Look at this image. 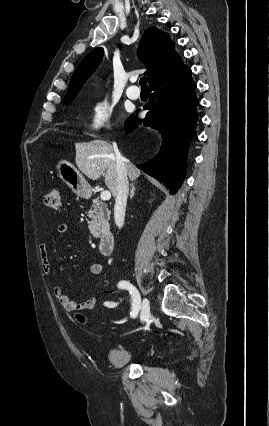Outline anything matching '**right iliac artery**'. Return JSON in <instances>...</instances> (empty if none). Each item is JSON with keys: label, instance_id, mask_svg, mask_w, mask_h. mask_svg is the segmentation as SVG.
Segmentation results:
<instances>
[{"label": "right iliac artery", "instance_id": "82829eb1", "mask_svg": "<svg viewBox=\"0 0 269 426\" xmlns=\"http://www.w3.org/2000/svg\"><path fill=\"white\" fill-rule=\"evenodd\" d=\"M119 286L129 291L132 298V311L130 315L131 317L135 318L138 315V312L140 310V294L138 290L136 289V287H134L132 284H130L127 281L119 282Z\"/></svg>", "mask_w": 269, "mask_h": 426}]
</instances>
